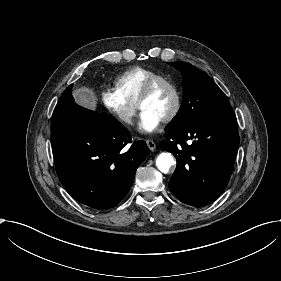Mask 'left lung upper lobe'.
Returning a JSON list of instances; mask_svg holds the SVG:
<instances>
[{"label": "left lung upper lobe", "instance_id": "5c2ea615", "mask_svg": "<svg viewBox=\"0 0 281 281\" xmlns=\"http://www.w3.org/2000/svg\"><path fill=\"white\" fill-rule=\"evenodd\" d=\"M168 64L182 73L183 100L178 114L166 127V131L233 113L225 94L205 72L185 62Z\"/></svg>", "mask_w": 281, "mask_h": 281}]
</instances>
